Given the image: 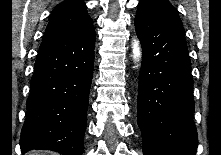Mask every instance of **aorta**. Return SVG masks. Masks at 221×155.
I'll return each instance as SVG.
<instances>
[{"label":"aorta","instance_id":"obj_1","mask_svg":"<svg viewBox=\"0 0 221 155\" xmlns=\"http://www.w3.org/2000/svg\"><path fill=\"white\" fill-rule=\"evenodd\" d=\"M132 49L134 60L139 61V59L141 58V49L138 40H134Z\"/></svg>","mask_w":221,"mask_h":155}]
</instances>
